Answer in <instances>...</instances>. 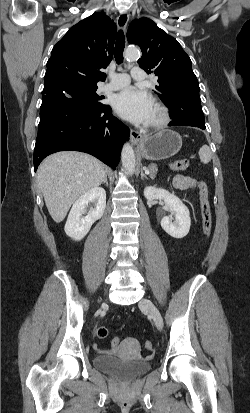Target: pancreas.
<instances>
[{"label": "pancreas", "mask_w": 250, "mask_h": 413, "mask_svg": "<svg viewBox=\"0 0 250 413\" xmlns=\"http://www.w3.org/2000/svg\"><path fill=\"white\" fill-rule=\"evenodd\" d=\"M147 169L150 171L149 176L151 178H155V176L157 174V166L155 164H151V165L148 166Z\"/></svg>", "instance_id": "cf45deb5"}]
</instances>
